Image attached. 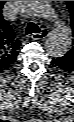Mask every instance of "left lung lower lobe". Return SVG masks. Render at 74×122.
Returning a JSON list of instances; mask_svg holds the SVG:
<instances>
[{
  "mask_svg": "<svg viewBox=\"0 0 74 122\" xmlns=\"http://www.w3.org/2000/svg\"><path fill=\"white\" fill-rule=\"evenodd\" d=\"M52 61L62 70L68 73H74V61L64 56L53 58Z\"/></svg>",
  "mask_w": 74,
  "mask_h": 122,
  "instance_id": "left-lung-lower-lobe-1",
  "label": "left lung lower lobe"
}]
</instances>
